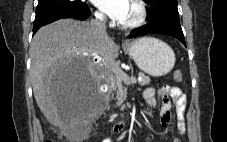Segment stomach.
<instances>
[{"instance_id": "1", "label": "stomach", "mask_w": 227, "mask_h": 142, "mask_svg": "<svg viewBox=\"0 0 227 142\" xmlns=\"http://www.w3.org/2000/svg\"><path fill=\"white\" fill-rule=\"evenodd\" d=\"M123 48L140 70L154 77L168 74L175 64L171 47L153 37L127 42Z\"/></svg>"}]
</instances>
